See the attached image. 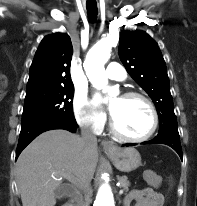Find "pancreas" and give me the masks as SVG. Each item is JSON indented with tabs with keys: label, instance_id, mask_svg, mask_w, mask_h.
Here are the masks:
<instances>
[{
	"label": "pancreas",
	"instance_id": "pancreas-1",
	"mask_svg": "<svg viewBox=\"0 0 197 206\" xmlns=\"http://www.w3.org/2000/svg\"><path fill=\"white\" fill-rule=\"evenodd\" d=\"M118 181L120 182L121 187L127 192L128 187L130 186V182L128 181L127 176H118ZM77 206H79V203Z\"/></svg>",
	"mask_w": 197,
	"mask_h": 206
}]
</instances>
